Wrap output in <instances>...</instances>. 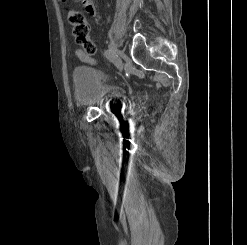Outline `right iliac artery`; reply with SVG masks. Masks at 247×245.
Wrapping results in <instances>:
<instances>
[{"mask_svg": "<svg viewBox=\"0 0 247 245\" xmlns=\"http://www.w3.org/2000/svg\"><path fill=\"white\" fill-rule=\"evenodd\" d=\"M104 55H105V57L108 59V57H116L113 53H112V51L109 49V50H105L104 51Z\"/></svg>", "mask_w": 247, "mask_h": 245, "instance_id": "82829eb1", "label": "right iliac artery"}]
</instances>
